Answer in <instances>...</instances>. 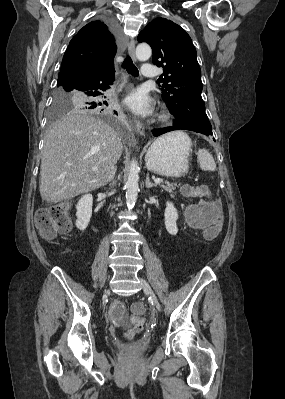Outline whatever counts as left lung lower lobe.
<instances>
[{"label":"left lung lower lobe","instance_id":"obj_1","mask_svg":"<svg viewBox=\"0 0 285 399\" xmlns=\"http://www.w3.org/2000/svg\"><path fill=\"white\" fill-rule=\"evenodd\" d=\"M180 129L181 128H179L178 126L173 125V126L167 127V128L155 129V130L152 131V133H153L154 136H159L161 134H164V133H167V132H170V131H173V130H180Z\"/></svg>","mask_w":285,"mask_h":399}]
</instances>
